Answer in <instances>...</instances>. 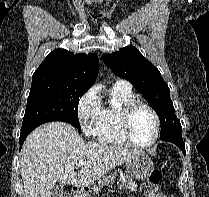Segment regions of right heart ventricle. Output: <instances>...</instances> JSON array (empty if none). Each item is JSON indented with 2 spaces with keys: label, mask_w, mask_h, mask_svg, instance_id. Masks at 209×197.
<instances>
[{
  "label": "right heart ventricle",
  "mask_w": 209,
  "mask_h": 197,
  "mask_svg": "<svg viewBox=\"0 0 209 197\" xmlns=\"http://www.w3.org/2000/svg\"><path fill=\"white\" fill-rule=\"evenodd\" d=\"M133 99L135 95L131 87L113 86L110 101L102 107L101 117L96 127L99 141L120 145L128 143L121 131L120 111Z\"/></svg>",
  "instance_id": "1"
}]
</instances>
